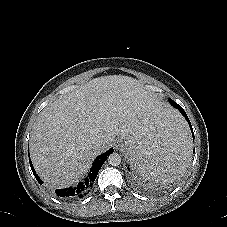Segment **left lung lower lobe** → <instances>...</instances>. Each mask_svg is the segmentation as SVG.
<instances>
[{
  "label": "left lung lower lobe",
  "mask_w": 227,
  "mask_h": 227,
  "mask_svg": "<svg viewBox=\"0 0 227 227\" xmlns=\"http://www.w3.org/2000/svg\"><path fill=\"white\" fill-rule=\"evenodd\" d=\"M169 102L172 104V106H174L175 108H177V109L181 112V114L185 117L186 121L188 122V124H189V126H190V129H191V132H192V135H193V139H194V133H193L192 126H191V123H190V121H189V119H188V117H187V115H186L184 109H183L180 105H178L177 103H175L172 99H169ZM175 142H176V141H174V140L172 139V141H170V142L167 144V146L163 149V151L165 150V152H167V153H172L171 150H175L174 148H177V147H178V144H176ZM177 149H178V148H177ZM173 152H174V151H173ZM194 152H195V148H194ZM129 162H130V161H129ZM130 163H131V165L136 169V171L138 172V169H137V166L135 165V163H133V162H130ZM131 168H132V167H131ZM134 168H133V169H134ZM129 171H130V168H129ZM132 171H134V170H132ZM132 179H133V183H134L137 187H141V188L145 187V186L141 183V181H139L138 178L134 177L133 175H132Z\"/></svg>",
  "instance_id": "1"
}]
</instances>
